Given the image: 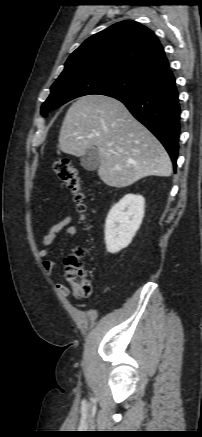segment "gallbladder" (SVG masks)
Segmentation results:
<instances>
[{
	"label": "gallbladder",
	"instance_id": "bac80fb5",
	"mask_svg": "<svg viewBox=\"0 0 202 437\" xmlns=\"http://www.w3.org/2000/svg\"><path fill=\"white\" fill-rule=\"evenodd\" d=\"M81 165L88 171H94L100 164L98 152L95 148H89L80 158Z\"/></svg>",
	"mask_w": 202,
	"mask_h": 437
}]
</instances>
